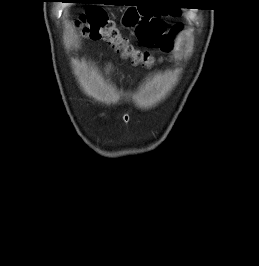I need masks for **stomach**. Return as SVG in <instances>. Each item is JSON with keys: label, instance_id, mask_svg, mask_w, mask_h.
I'll list each match as a JSON object with an SVG mask.
<instances>
[{"label": "stomach", "instance_id": "stomach-1", "mask_svg": "<svg viewBox=\"0 0 259 266\" xmlns=\"http://www.w3.org/2000/svg\"><path fill=\"white\" fill-rule=\"evenodd\" d=\"M122 22L127 27H133L135 25V15L132 13V11L130 10L126 11L122 19Z\"/></svg>", "mask_w": 259, "mask_h": 266}]
</instances>
